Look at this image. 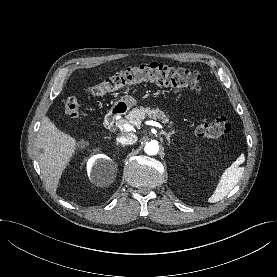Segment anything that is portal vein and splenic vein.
Returning <instances> with one entry per match:
<instances>
[{
	"mask_svg": "<svg viewBox=\"0 0 277 277\" xmlns=\"http://www.w3.org/2000/svg\"><path fill=\"white\" fill-rule=\"evenodd\" d=\"M146 123L149 124V125L158 127V128H160V129L163 128V126H162L160 123L156 122V121L149 120V121H147ZM118 127H119V129L124 130V131H131L132 128H133V127H132L131 125H129V124L119 125Z\"/></svg>",
	"mask_w": 277,
	"mask_h": 277,
	"instance_id": "1",
	"label": "portal vein and splenic vein"
}]
</instances>
